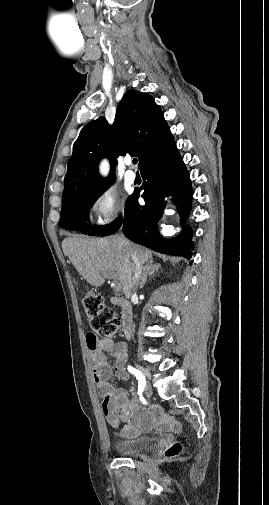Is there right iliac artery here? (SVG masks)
Returning a JSON list of instances; mask_svg holds the SVG:
<instances>
[{"label":"right iliac artery","mask_w":269,"mask_h":505,"mask_svg":"<svg viewBox=\"0 0 269 505\" xmlns=\"http://www.w3.org/2000/svg\"><path fill=\"white\" fill-rule=\"evenodd\" d=\"M127 369L131 374L136 376L138 380V394L142 396V393L145 389L144 382L146 381L144 375L138 369L134 368L131 365H128Z\"/></svg>","instance_id":"82829eb1"}]
</instances>
